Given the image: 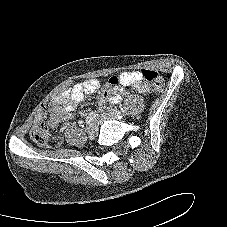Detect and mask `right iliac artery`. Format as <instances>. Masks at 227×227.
Returning <instances> with one entry per match:
<instances>
[{
  "label": "right iliac artery",
  "instance_id": "right-iliac-artery-1",
  "mask_svg": "<svg viewBox=\"0 0 227 227\" xmlns=\"http://www.w3.org/2000/svg\"><path fill=\"white\" fill-rule=\"evenodd\" d=\"M99 114L95 111V112H91L87 117H86V120H85V123L87 125H90L92 124L97 118H98Z\"/></svg>",
  "mask_w": 227,
  "mask_h": 227
}]
</instances>
